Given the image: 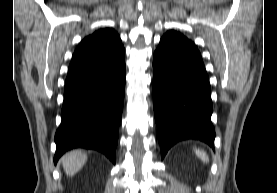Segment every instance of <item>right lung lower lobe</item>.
<instances>
[{
  "mask_svg": "<svg viewBox=\"0 0 277 193\" xmlns=\"http://www.w3.org/2000/svg\"><path fill=\"white\" fill-rule=\"evenodd\" d=\"M124 53L122 49L96 66L68 71L54 163L77 147L98 150L115 163L125 92Z\"/></svg>",
  "mask_w": 277,
  "mask_h": 193,
  "instance_id": "right-lung-lower-lobe-1",
  "label": "right lung lower lobe"
}]
</instances>
